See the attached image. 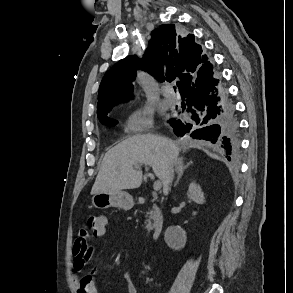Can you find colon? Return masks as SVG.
I'll return each mask as SVG.
<instances>
[{
  "label": "colon",
  "mask_w": 293,
  "mask_h": 293,
  "mask_svg": "<svg viewBox=\"0 0 293 293\" xmlns=\"http://www.w3.org/2000/svg\"><path fill=\"white\" fill-rule=\"evenodd\" d=\"M106 223V217L99 214H89L85 218V227L95 236L101 234L105 230Z\"/></svg>",
  "instance_id": "colon-1"
}]
</instances>
